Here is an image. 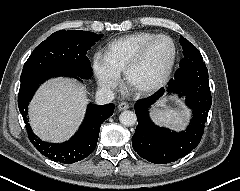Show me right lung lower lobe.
Instances as JSON below:
<instances>
[{"label": "right lung lower lobe", "instance_id": "right-lung-lower-lobe-1", "mask_svg": "<svg viewBox=\"0 0 240 191\" xmlns=\"http://www.w3.org/2000/svg\"><path fill=\"white\" fill-rule=\"evenodd\" d=\"M66 76L83 79L73 73L46 69L42 71L22 72L20 90L18 94V107L22 114L28 137L34 147L45 157L59 163L71 164L90 155L97 145L101 123L109 118L114 111L113 104H89L85 119L76 134L67 142L61 144L48 143L38 138L28 123V104L35 91L45 80L51 77Z\"/></svg>", "mask_w": 240, "mask_h": 191}]
</instances>
